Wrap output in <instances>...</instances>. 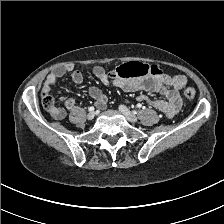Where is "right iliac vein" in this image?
Here are the masks:
<instances>
[{
	"mask_svg": "<svg viewBox=\"0 0 224 224\" xmlns=\"http://www.w3.org/2000/svg\"><path fill=\"white\" fill-rule=\"evenodd\" d=\"M94 117H95V113H94V112H90V113L87 115V118H88L89 120L94 119Z\"/></svg>",
	"mask_w": 224,
	"mask_h": 224,
	"instance_id": "right-iliac-vein-1",
	"label": "right iliac vein"
}]
</instances>
